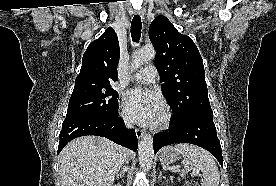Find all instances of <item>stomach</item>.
Here are the masks:
<instances>
[{
	"instance_id": "0dacf381",
	"label": "stomach",
	"mask_w": 276,
	"mask_h": 186,
	"mask_svg": "<svg viewBox=\"0 0 276 186\" xmlns=\"http://www.w3.org/2000/svg\"><path fill=\"white\" fill-rule=\"evenodd\" d=\"M159 158L160 161L165 165L172 164L179 159V152H177L174 147H164L160 151Z\"/></svg>"
}]
</instances>
